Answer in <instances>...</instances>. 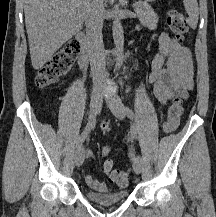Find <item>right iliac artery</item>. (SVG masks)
I'll use <instances>...</instances> for the list:
<instances>
[{"label": "right iliac artery", "instance_id": "1", "mask_svg": "<svg viewBox=\"0 0 216 217\" xmlns=\"http://www.w3.org/2000/svg\"><path fill=\"white\" fill-rule=\"evenodd\" d=\"M95 124H96V114L92 112L89 115L88 123L85 129L83 130V132L81 133V135L79 136L76 142L77 149L82 146L83 142L86 140L91 130L94 129Z\"/></svg>", "mask_w": 216, "mask_h": 217}]
</instances>
